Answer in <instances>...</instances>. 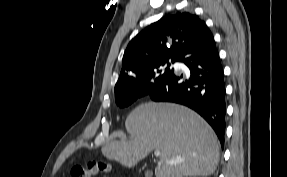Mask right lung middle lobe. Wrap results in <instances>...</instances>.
<instances>
[{
	"instance_id": "1",
	"label": "right lung middle lobe",
	"mask_w": 287,
	"mask_h": 177,
	"mask_svg": "<svg viewBox=\"0 0 287 177\" xmlns=\"http://www.w3.org/2000/svg\"><path fill=\"white\" fill-rule=\"evenodd\" d=\"M178 60H163L148 69L142 80L134 86L115 87V101L119 107H126L147 94L158 82L169 76L174 69L171 64Z\"/></svg>"
}]
</instances>
